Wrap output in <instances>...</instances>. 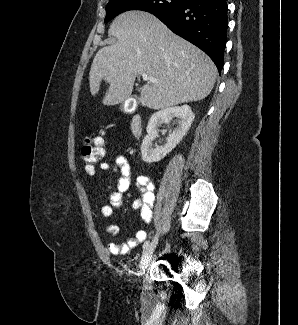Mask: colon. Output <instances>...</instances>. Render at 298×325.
Listing matches in <instances>:
<instances>
[{"instance_id":"obj_1","label":"colon","mask_w":298,"mask_h":325,"mask_svg":"<svg viewBox=\"0 0 298 325\" xmlns=\"http://www.w3.org/2000/svg\"><path fill=\"white\" fill-rule=\"evenodd\" d=\"M104 155L102 137L86 138L80 149V158L83 162L84 170L88 174H93L97 164Z\"/></svg>"}]
</instances>
